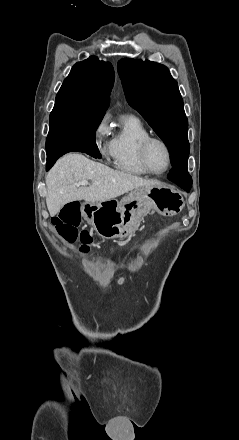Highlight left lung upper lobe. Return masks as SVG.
Segmentation results:
<instances>
[{
    "label": "left lung upper lobe",
    "instance_id": "left-lung-upper-lobe-1",
    "mask_svg": "<svg viewBox=\"0 0 239 440\" xmlns=\"http://www.w3.org/2000/svg\"><path fill=\"white\" fill-rule=\"evenodd\" d=\"M117 68L128 103L169 148L172 166L186 165L190 151L188 120L177 82L168 68L129 58L121 59Z\"/></svg>",
    "mask_w": 239,
    "mask_h": 440
}]
</instances>
